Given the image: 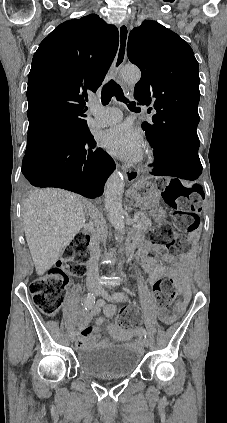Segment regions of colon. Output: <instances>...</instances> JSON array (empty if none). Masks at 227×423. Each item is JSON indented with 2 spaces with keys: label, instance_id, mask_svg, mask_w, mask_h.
Instances as JSON below:
<instances>
[{
  "label": "colon",
  "instance_id": "obj_1",
  "mask_svg": "<svg viewBox=\"0 0 227 423\" xmlns=\"http://www.w3.org/2000/svg\"><path fill=\"white\" fill-rule=\"evenodd\" d=\"M162 196L167 205L173 208V225L164 223L156 230L149 231L154 244L167 248L172 254L188 249L189 240L185 233L199 226L198 213L201 210V192L197 184L184 185L179 181L160 182ZM89 236L78 233L65 248L62 258L44 275L30 284L33 302L47 315L58 313L65 299L68 274L81 276L85 273L88 261ZM153 294L159 310H168L177 294L176 280L173 276L159 279L153 285ZM117 324L126 330H135L139 325L136 307L124 308Z\"/></svg>",
  "mask_w": 227,
  "mask_h": 423
}]
</instances>
